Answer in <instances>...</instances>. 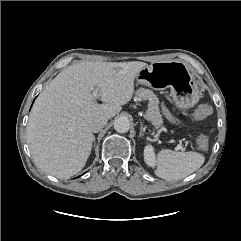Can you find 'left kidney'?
I'll list each match as a JSON object with an SVG mask.
<instances>
[{
  "label": "left kidney",
  "mask_w": 241,
  "mask_h": 241,
  "mask_svg": "<svg viewBox=\"0 0 241 241\" xmlns=\"http://www.w3.org/2000/svg\"><path fill=\"white\" fill-rule=\"evenodd\" d=\"M144 160L146 164L150 167L155 166V153H154V148L151 145H147L144 148Z\"/></svg>",
  "instance_id": "5707ae66"
}]
</instances>
